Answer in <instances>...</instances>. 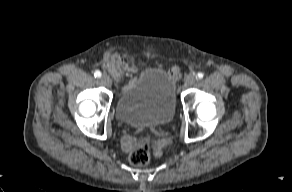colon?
I'll return each mask as SVG.
<instances>
[{"instance_id": "obj_1", "label": "colon", "mask_w": 292, "mask_h": 192, "mask_svg": "<svg viewBox=\"0 0 292 192\" xmlns=\"http://www.w3.org/2000/svg\"><path fill=\"white\" fill-rule=\"evenodd\" d=\"M154 139L152 134H148V131H144L140 136L139 147L134 150L129 157L130 163L136 167H142L149 163L151 158V140Z\"/></svg>"}]
</instances>
